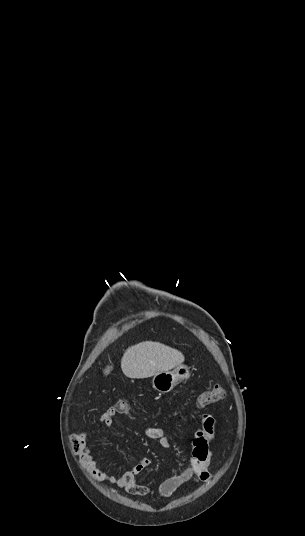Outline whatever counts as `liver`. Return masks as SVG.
<instances>
[{"label": "liver", "mask_w": 305, "mask_h": 536, "mask_svg": "<svg viewBox=\"0 0 305 536\" xmlns=\"http://www.w3.org/2000/svg\"><path fill=\"white\" fill-rule=\"evenodd\" d=\"M185 358L181 352L159 344V342H141L131 346L123 354L121 368L127 378H151L159 372H168L183 364ZM112 366L104 370L105 376L110 374Z\"/></svg>", "instance_id": "6515ba94"}]
</instances>
